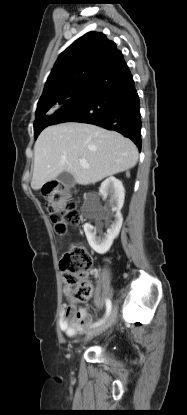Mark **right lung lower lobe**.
Listing matches in <instances>:
<instances>
[{
    "mask_svg": "<svg viewBox=\"0 0 187 415\" xmlns=\"http://www.w3.org/2000/svg\"><path fill=\"white\" fill-rule=\"evenodd\" d=\"M139 105L132 74L121 54L88 79L85 89L53 114L52 124L82 122L115 130L141 150Z\"/></svg>",
    "mask_w": 187,
    "mask_h": 415,
    "instance_id": "obj_1",
    "label": "right lung lower lobe"
}]
</instances>
